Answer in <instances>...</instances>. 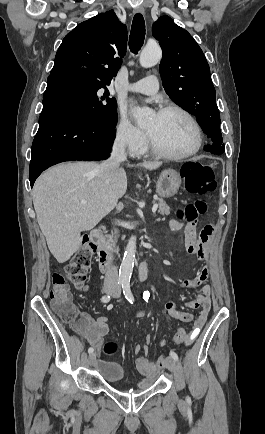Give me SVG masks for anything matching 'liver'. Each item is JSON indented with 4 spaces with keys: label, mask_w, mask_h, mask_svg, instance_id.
<instances>
[{
    "label": "liver",
    "mask_w": 265,
    "mask_h": 434,
    "mask_svg": "<svg viewBox=\"0 0 265 434\" xmlns=\"http://www.w3.org/2000/svg\"><path fill=\"white\" fill-rule=\"evenodd\" d=\"M162 162H143L156 170ZM99 164L75 162L50 168L36 180L33 204L37 222L47 246L59 264L70 260L82 244L81 232H88L116 208L127 190L123 168L111 172L107 182L99 178ZM86 200L87 204H80Z\"/></svg>",
    "instance_id": "liver-1"
}]
</instances>
